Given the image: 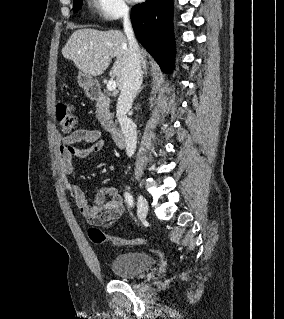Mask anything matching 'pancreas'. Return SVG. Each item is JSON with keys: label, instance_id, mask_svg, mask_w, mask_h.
Listing matches in <instances>:
<instances>
[{"label": "pancreas", "instance_id": "obj_1", "mask_svg": "<svg viewBox=\"0 0 284 319\" xmlns=\"http://www.w3.org/2000/svg\"><path fill=\"white\" fill-rule=\"evenodd\" d=\"M96 117L100 122H104L107 119L111 118V114L109 111V101L103 100L97 103L96 105Z\"/></svg>", "mask_w": 284, "mask_h": 319}]
</instances>
